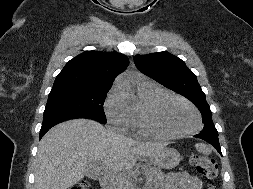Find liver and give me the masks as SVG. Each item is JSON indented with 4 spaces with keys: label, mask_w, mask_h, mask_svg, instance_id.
<instances>
[{
    "label": "liver",
    "mask_w": 253,
    "mask_h": 189,
    "mask_svg": "<svg viewBox=\"0 0 253 189\" xmlns=\"http://www.w3.org/2000/svg\"><path fill=\"white\" fill-rule=\"evenodd\" d=\"M164 148V144L131 140L89 119L69 120L49 130L39 143L35 189H68L89 171L98 175L99 164L115 179L128 180L123 189H130L129 174L137 160Z\"/></svg>",
    "instance_id": "obj_1"
}]
</instances>
